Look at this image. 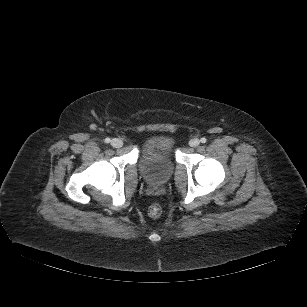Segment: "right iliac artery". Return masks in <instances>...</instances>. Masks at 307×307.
Here are the masks:
<instances>
[{"label": "right iliac artery", "mask_w": 307, "mask_h": 307, "mask_svg": "<svg viewBox=\"0 0 307 307\" xmlns=\"http://www.w3.org/2000/svg\"><path fill=\"white\" fill-rule=\"evenodd\" d=\"M110 141H111L110 138H106V139L104 140L105 143H110Z\"/></svg>", "instance_id": "obj_1"}]
</instances>
